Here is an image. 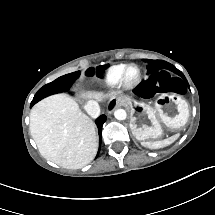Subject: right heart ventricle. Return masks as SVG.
Returning <instances> with one entry per match:
<instances>
[{
  "label": "right heart ventricle",
  "instance_id": "right-heart-ventricle-1",
  "mask_svg": "<svg viewBox=\"0 0 215 215\" xmlns=\"http://www.w3.org/2000/svg\"><path fill=\"white\" fill-rule=\"evenodd\" d=\"M122 69V64L109 67L105 70L103 77L100 81H102L105 85H113Z\"/></svg>",
  "mask_w": 215,
  "mask_h": 215
}]
</instances>
